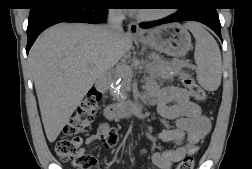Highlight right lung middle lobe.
Listing matches in <instances>:
<instances>
[{
  "label": "right lung middle lobe",
  "mask_w": 252,
  "mask_h": 169,
  "mask_svg": "<svg viewBox=\"0 0 252 169\" xmlns=\"http://www.w3.org/2000/svg\"><path fill=\"white\" fill-rule=\"evenodd\" d=\"M97 1H102V2H106L107 0H97Z\"/></svg>",
  "instance_id": "1"
}]
</instances>
